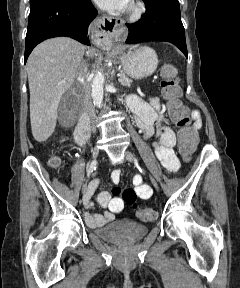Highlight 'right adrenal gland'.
I'll return each instance as SVG.
<instances>
[{
  "mask_svg": "<svg viewBox=\"0 0 240 288\" xmlns=\"http://www.w3.org/2000/svg\"><path fill=\"white\" fill-rule=\"evenodd\" d=\"M85 69H87V66H86V64H85Z\"/></svg>",
  "mask_w": 240,
  "mask_h": 288,
  "instance_id": "2a0ac1e0",
  "label": "right adrenal gland"
}]
</instances>
